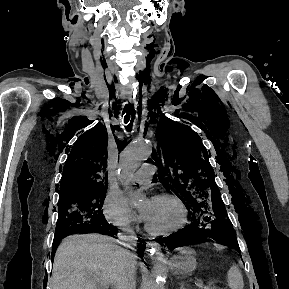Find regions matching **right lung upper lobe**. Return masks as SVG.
I'll use <instances>...</instances> for the list:
<instances>
[{
    "label": "right lung upper lobe",
    "instance_id": "right-lung-upper-lobe-1",
    "mask_svg": "<svg viewBox=\"0 0 289 289\" xmlns=\"http://www.w3.org/2000/svg\"><path fill=\"white\" fill-rule=\"evenodd\" d=\"M106 159L107 137L99 123L79 137L71 149L61 184L56 187L60 197L107 188Z\"/></svg>",
    "mask_w": 289,
    "mask_h": 289
}]
</instances>
